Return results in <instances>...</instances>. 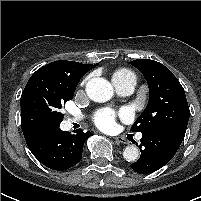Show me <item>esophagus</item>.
<instances>
[{
  "mask_svg": "<svg viewBox=\"0 0 201 201\" xmlns=\"http://www.w3.org/2000/svg\"><path fill=\"white\" fill-rule=\"evenodd\" d=\"M113 139L118 143L128 144V141L125 138L121 137V136L114 137Z\"/></svg>",
  "mask_w": 201,
  "mask_h": 201,
  "instance_id": "1",
  "label": "esophagus"
}]
</instances>
